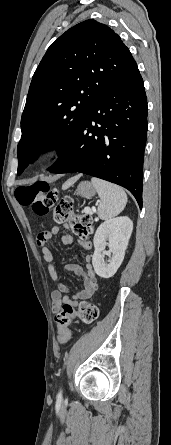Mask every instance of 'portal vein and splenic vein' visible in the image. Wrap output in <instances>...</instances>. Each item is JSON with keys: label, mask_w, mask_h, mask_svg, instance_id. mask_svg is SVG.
Wrapping results in <instances>:
<instances>
[{"label": "portal vein and splenic vein", "mask_w": 171, "mask_h": 445, "mask_svg": "<svg viewBox=\"0 0 171 445\" xmlns=\"http://www.w3.org/2000/svg\"><path fill=\"white\" fill-rule=\"evenodd\" d=\"M85 212L88 213V214H92L93 210H91L90 208H85Z\"/></svg>", "instance_id": "18ae733b"}]
</instances>
